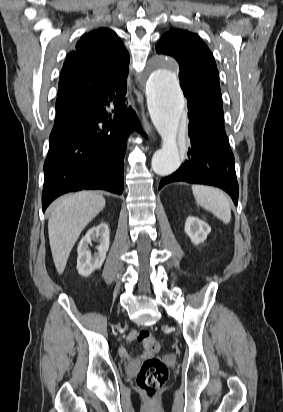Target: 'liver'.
<instances>
[{"mask_svg":"<svg viewBox=\"0 0 283 412\" xmlns=\"http://www.w3.org/2000/svg\"><path fill=\"white\" fill-rule=\"evenodd\" d=\"M102 195L81 191L64 197L50 206L49 242L56 270L62 274L70 252L82 230L105 207Z\"/></svg>","mask_w":283,"mask_h":412,"instance_id":"liver-1","label":"liver"}]
</instances>
